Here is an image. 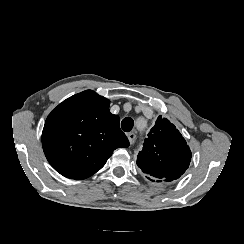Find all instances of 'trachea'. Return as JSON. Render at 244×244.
Instances as JSON below:
<instances>
[{
  "label": "trachea",
  "instance_id": "trachea-1",
  "mask_svg": "<svg viewBox=\"0 0 244 244\" xmlns=\"http://www.w3.org/2000/svg\"><path fill=\"white\" fill-rule=\"evenodd\" d=\"M133 125H134V122H133V119L132 118H124L121 122V126H122V129L123 131H126V132H129L133 129Z\"/></svg>",
  "mask_w": 244,
  "mask_h": 244
}]
</instances>
